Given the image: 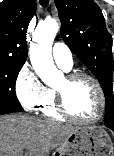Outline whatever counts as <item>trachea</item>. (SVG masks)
<instances>
[{
    "label": "trachea",
    "mask_w": 114,
    "mask_h": 156,
    "mask_svg": "<svg viewBox=\"0 0 114 156\" xmlns=\"http://www.w3.org/2000/svg\"><path fill=\"white\" fill-rule=\"evenodd\" d=\"M40 4L42 7H47L49 4V0H40Z\"/></svg>",
    "instance_id": "obj_1"
}]
</instances>
